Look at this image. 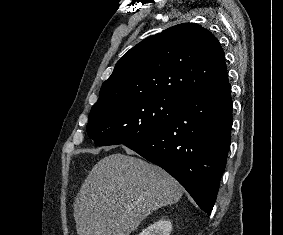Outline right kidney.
I'll return each instance as SVG.
<instances>
[{
    "instance_id": "1",
    "label": "right kidney",
    "mask_w": 283,
    "mask_h": 235,
    "mask_svg": "<svg viewBox=\"0 0 283 235\" xmlns=\"http://www.w3.org/2000/svg\"><path fill=\"white\" fill-rule=\"evenodd\" d=\"M172 224L170 220L161 219L148 226L139 235H170Z\"/></svg>"
}]
</instances>
